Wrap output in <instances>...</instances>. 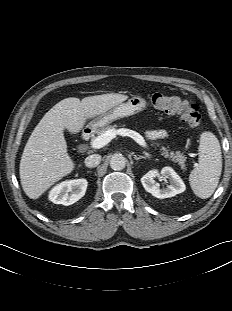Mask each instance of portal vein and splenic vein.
<instances>
[{"label":"portal vein and splenic vein","mask_w":232,"mask_h":311,"mask_svg":"<svg viewBox=\"0 0 232 311\" xmlns=\"http://www.w3.org/2000/svg\"><path fill=\"white\" fill-rule=\"evenodd\" d=\"M116 135L128 136L133 140H135L140 146L148 148V145L145 142L144 138L138 132L126 128H120L117 130L115 129L107 130L105 133L98 136L91 142V147L93 149H100L105 145H107L112 139H114Z\"/></svg>","instance_id":"1"}]
</instances>
